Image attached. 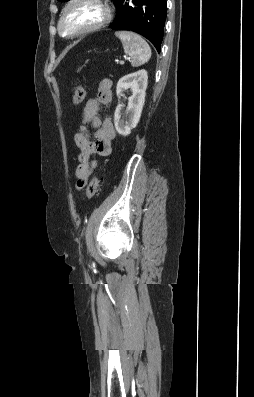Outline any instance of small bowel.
<instances>
[{"label":"small bowel","instance_id":"1","mask_svg":"<svg viewBox=\"0 0 254 397\" xmlns=\"http://www.w3.org/2000/svg\"><path fill=\"white\" fill-rule=\"evenodd\" d=\"M111 87L112 81L108 78H103L98 82L97 95L85 104L76 128L74 140L80 151L75 171L78 190L84 188L89 175L97 166V161L93 159L94 154L106 157L111 153V142L116 132L111 119L102 120L99 115L100 106L107 105L112 100ZM89 126L95 130L94 139L89 134Z\"/></svg>","mask_w":254,"mask_h":397}]
</instances>
